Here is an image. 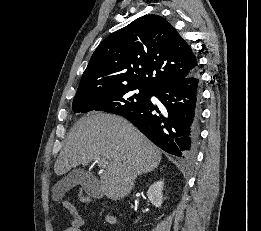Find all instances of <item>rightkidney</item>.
Listing matches in <instances>:
<instances>
[{"instance_id": "obj_1", "label": "right kidney", "mask_w": 261, "mask_h": 231, "mask_svg": "<svg viewBox=\"0 0 261 231\" xmlns=\"http://www.w3.org/2000/svg\"><path fill=\"white\" fill-rule=\"evenodd\" d=\"M163 186V181H157L153 183L147 191L148 199L155 207H161L163 203Z\"/></svg>"}]
</instances>
